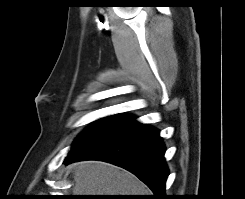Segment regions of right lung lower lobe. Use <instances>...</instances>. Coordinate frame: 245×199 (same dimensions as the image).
<instances>
[{
  "label": "right lung lower lobe",
  "mask_w": 245,
  "mask_h": 199,
  "mask_svg": "<svg viewBox=\"0 0 245 199\" xmlns=\"http://www.w3.org/2000/svg\"><path fill=\"white\" fill-rule=\"evenodd\" d=\"M129 117L102 138L69 155L64 164L81 160L106 161L135 174L154 193L151 199H167L168 168L159 130Z\"/></svg>",
  "instance_id": "1"
}]
</instances>
